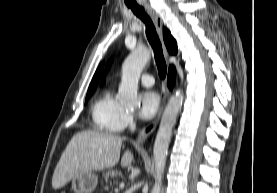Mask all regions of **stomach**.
I'll use <instances>...</instances> for the list:
<instances>
[{"instance_id":"1","label":"stomach","mask_w":277,"mask_h":193,"mask_svg":"<svg viewBox=\"0 0 277 193\" xmlns=\"http://www.w3.org/2000/svg\"><path fill=\"white\" fill-rule=\"evenodd\" d=\"M98 182L97 175L93 172H84L72 178L71 188L75 193H92Z\"/></svg>"}]
</instances>
